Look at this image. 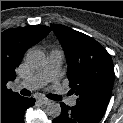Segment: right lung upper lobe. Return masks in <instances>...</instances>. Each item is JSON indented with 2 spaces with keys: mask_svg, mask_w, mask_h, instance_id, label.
<instances>
[{
  "mask_svg": "<svg viewBox=\"0 0 123 123\" xmlns=\"http://www.w3.org/2000/svg\"><path fill=\"white\" fill-rule=\"evenodd\" d=\"M51 31L44 25L8 29L1 33V101L20 96L7 89L6 84L16 78L15 69L24 53Z\"/></svg>",
  "mask_w": 123,
  "mask_h": 123,
  "instance_id": "obj_1",
  "label": "right lung upper lobe"
}]
</instances>
